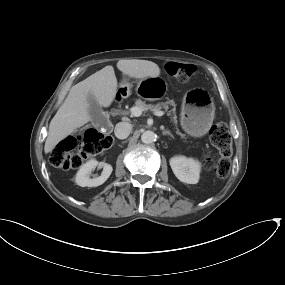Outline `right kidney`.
<instances>
[{"label": "right kidney", "mask_w": 285, "mask_h": 285, "mask_svg": "<svg viewBox=\"0 0 285 285\" xmlns=\"http://www.w3.org/2000/svg\"><path fill=\"white\" fill-rule=\"evenodd\" d=\"M97 166L103 168V171L100 176L91 178L92 170ZM112 171L113 168L110 164L92 159L81 166L76 174V183L81 187H97L102 185L109 178Z\"/></svg>", "instance_id": "right-kidney-1"}]
</instances>
